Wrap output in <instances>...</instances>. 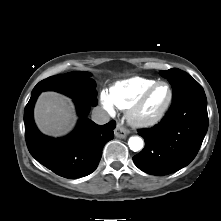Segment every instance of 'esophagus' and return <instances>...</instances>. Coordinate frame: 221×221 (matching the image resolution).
I'll list each match as a JSON object with an SVG mask.
<instances>
[{
	"label": "esophagus",
	"instance_id": "esophagus-1",
	"mask_svg": "<svg viewBox=\"0 0 221 221\" xmlns=\"http://www.w3.org/2000/svg\"><path fill=\"white\" fill-rule=\"evenodd\" d=\"M114 134L117 138L124 139L128 134V130L120 124H117Z\"/></svg>",
	"mask_w": 221,
	"mask_h": 221
}]
</instances>
